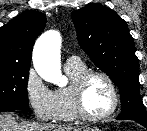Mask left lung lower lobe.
Masks as SVG:
<instances>
[{"label": "left lung lower lobe", "mask_w": 147, "mask_h": 131, "mask_svg": "<svg viewBox=\"0 0 147 131\" xmlns=\"http://www.w3.org/2000/svg\"><path fill=\"white\" fill-rule=\"evenodd\" d=\"M117 119H118V118H117ZM134 121H135V120H134ZM136 122H138L139 124L143 125V126L147 129V123L141 122V121H136Z\"/></svg>", "instance_id": "1"}]
</instances>
